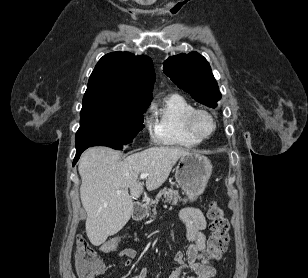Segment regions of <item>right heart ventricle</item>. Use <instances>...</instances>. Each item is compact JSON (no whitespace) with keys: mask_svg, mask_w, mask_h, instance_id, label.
<instances>
[{"mask_svg":"<svg viewBox=\"0 0 308 278\" xmlns=\"http://www.w3.org/2000/svg\"><path fill=\"white\" fill-rule=\"evenodd\" d=\"M192 104L179 94L163 98L160 107L154 109L152 124L155 140L162 145L191 148L200 143L185 129L184 117L193 110Z\"/></svg>","mask_w":308,"mask_h":278,"instance_id":"1","label":"right heart ventricle"}]
</instances>
